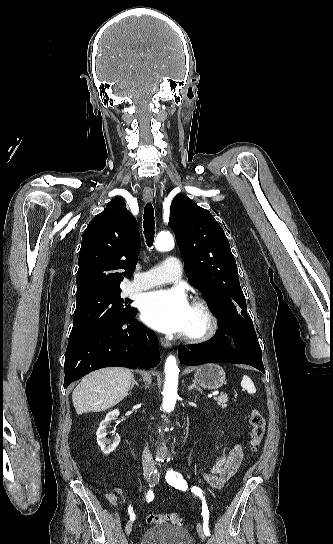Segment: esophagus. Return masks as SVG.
<instances>
[{
    "instance_id": "esophagus-1",
    "label": "esophagus",
    "mask_w": 333,
    "mask_h": 544,
    "mask_svg": "<svg viewBox=\"0 0 333 544\" xmlns=\"http://www.w3.org/2000/svg\"><path fill=\"white\" fill-rule=\"evenodd\" d=\"M143 197H144V200L147 201V202L153 201L154 195H153L152 189H150V188H145V189L143 190ZM160 343H161V345H162L163 347H165V348H169V347L172 346V343H171L170 341L164 339V338H161V339H160Z\"/></svg>"
}]
</instances>
